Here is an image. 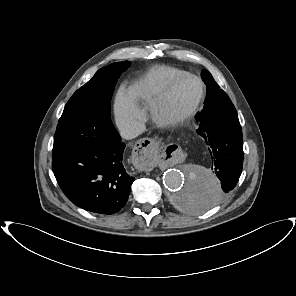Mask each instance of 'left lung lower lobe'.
Listing matches in <instances>:
<instances>
[{
	"instance_id": "0a47b994",
	"label": "left lung lower lobe",
	"mask_w": 296,
	"mask_h": 296,
	"mask_svg": "<svg viewBox=\"0 0 296 296\" xmlns=\"http://www.w3.org/2000/svg\"><path fill=\"white\" fill-rule=\"evenodd\" d=\"M196 132L203 140L212 160V170L221 181L218 190L211 191L191 183L181 196L183 207L194 212L205 211L236 186L243 166L242 129L236 109L227 94L217 96L195 116Z\"/></svg>"
}]
</instances>
